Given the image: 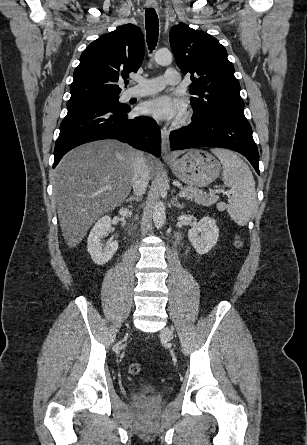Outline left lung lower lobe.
Returning <instances> with one entry per match:
<instances>
[{
	"instance_id": "1",
	"label": "left lung lower lobe",
	"mask_w": 307,
	"mask_h": 445,
	"mask_svg": "<svg viewBox=\"0 0 307 445\" xmlns=\"http://www.w3.org/2000/svg\"><path fill=\"white\" fill-rule=\"evenodd\" d=\"M170 146L172 150L203 146L228 148L244 155L260 174L258 149L245 117L215 115L192 121L188 128L171 132Z\"/></svg>"
}]
</instances>
